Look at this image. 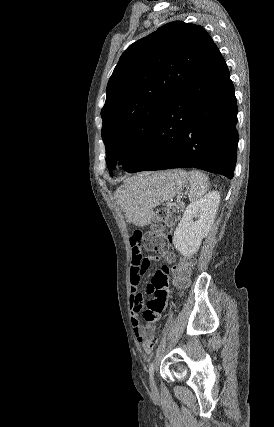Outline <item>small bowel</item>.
<instances>
[{
  "label": "small bowel",
  "mask_w": 274,
  "mask_h": 427,
  "mask_svg": "<svg viewBox=\"0 0 274 427\" xmlns=\"http://www.w3.org/2000/svg\"><path fill=\"white\" fill-rule=\"evenodd\" d=\"M132 251V263L130 272V302L132 312V325L134 327L138 340L143 341L148 338L149 331H155L154 328L143 326L148 325V320H162V311H147L146 319H142L141 323L138 319L139 313L143 308V297L138 290V286L141 283L142 277L146 270L150 266V260L143 257L140 247L137 244L130 246ZM160 257H164L167 265L173 263L176 259L175 254L172 251H156ZM171 277L168 275V267L165 266L162 269H156L154 275H150L147 282L148 294H155L159 301H146V310H166V302L169 300L168 291L171 286Z\"/></svg>",
  "instance_id": "small-bowel-1"
}]
</instances>
